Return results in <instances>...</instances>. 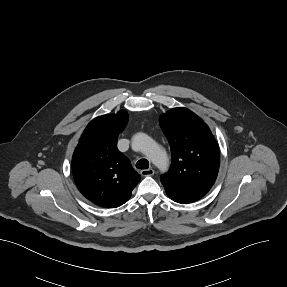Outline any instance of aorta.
<instances>
[{
	"instance_id": "obj_1",
	"label": "aorta",
	"mask_w": 287,
	"mask_h": 287,
	"mask_svg": "<svg viewBox=\"0 0 287 287\" xmlns=\"http://www.w3.org/2000/svg\"><path fill=\"white\" fill-rule=\"evenodd\" d=\"M132 144L143 152L160 171L167 170L168 156L166 152L147 134H136Z\"/></svg>"
}]
</instances>
